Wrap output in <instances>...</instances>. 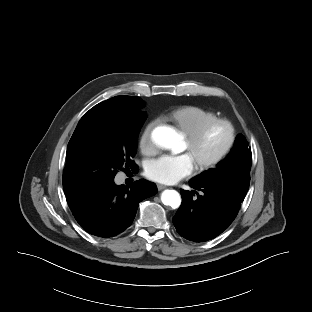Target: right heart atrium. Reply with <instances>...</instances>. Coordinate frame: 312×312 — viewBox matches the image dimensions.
<instances>
[{
	"label": "right heart atrium",
	"instance_id": "right-heart-atrium-1",
	"mask_svg": "<svg viewBox=\"0 0 312 312\" xmlns=\"http://www.w3.org/2000/svg\"><path fill=\"white\" fill-rule=\"evenodd\" d=\"M156 124L157 122L155 120L150 121L146 124L141 132L139 147L144 155L150 156L156 152V147L152 140V131L155 128Z\"/></svg>",
	"mask_w": 312,
	"mask_h": 312
}]
</instances>
